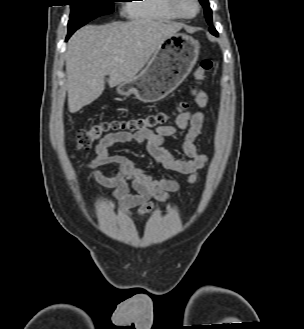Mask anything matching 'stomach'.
I'll use <instances>...</instances> for the list:
<instances>
[{"instance_id":"obj_1","label":"stomach","mask_w":304,"mask_h":329,"mask_svg":"<svg viewBox=\"0 0 304 329\" xmlns=\"http://www.w3.org/2000/svg\"><path fill=\"white\" fill-rule=\"evenodd\" d=\"M199 43L184 33L166 38L145 69L133 80L117 86V93L134 94L144 103L162 100L188 76L199 56Z\"/></svg>"}]
</instances>
